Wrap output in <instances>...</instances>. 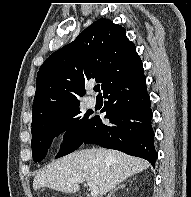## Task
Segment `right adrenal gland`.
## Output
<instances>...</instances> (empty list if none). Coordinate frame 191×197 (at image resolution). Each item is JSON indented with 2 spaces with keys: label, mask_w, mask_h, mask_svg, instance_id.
Instances as JSON below:
<instances>
[{
  "label": "right adrenal gland",
  "mask_w": 191,
  "mask_h": 197,
  "mask_svg": "<svg viewBox=\"0 0 191 197\" xmlns=\"http://www.w3.org/2000/svg\"><path fill=\"white\" fill-rule=\"evenodd\" d=\"M123 188H125V185H124V184L118 185L114 190H112V191L110 192V194H108L107 197H111L112 194H113L114 192H116V191L119 190V189H123Z\"/></svg>",
  "instance_id": "obj_1"
}]
</instances>
